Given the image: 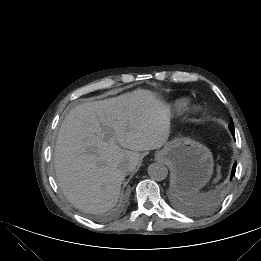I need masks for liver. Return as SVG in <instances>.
I'll use <instances>...</instances> for the list:
<instances>
[{"label": "liver", "mask_w": 261, "mask_h": 261, "mask_svg": "<svg viewBox=\"0 0 261 261\" xmlns=\"http://www.w3.org/2000/svg\"><path fill=\"white\" fill-rule=\"evenodd\" d=\"M165 103L155 93H130L73 108L58 132L54 164L64 195L79 210L112 208L141 151L161 148L170 129Z\"/></svg>", "instance_id": "6515ba94"}]
</instances>
